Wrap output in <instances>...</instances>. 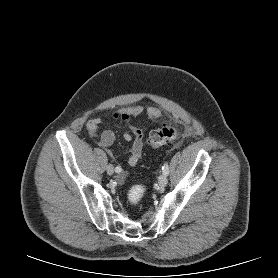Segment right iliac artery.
Listing matches in <instances>:
<instances>
[{
	"mask_svg": "<svg viewBox=\"0 0 278 278\" xmlns=\"http://www.w3.org/2000/svg\"><path fill=\"white\" fill-rule=\"evenodd\" d=\"M121 167L120 166H117L116 168H115V171L117 172V173H120L121 172Z\"/></svg>",
	"mask_w": 278,
	"mask_h": 278,
	"instance_id": "1",
	"label": "right iliac artery"
}]
</instances>
